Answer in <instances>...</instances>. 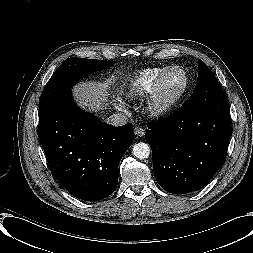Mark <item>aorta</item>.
I'll use <instances>...</instances> for the list:
<instances>
[{
	"label": "aorta",
	"instance_id": "obj_1",
	"mask_svg": "<svg viewBox=\"0 0 253 253\" xmlns=\"http://www.w3.org/2000/svg\"><path fill=\"white\" fill-rule=\"evenodd\" d=\"M150 146L147 143L139 142L133 146V155L139 159L148 158L150 155Z\"/></svg>",
	"mask_w": 253,
	"mask_h": 253
}]
</instances>
